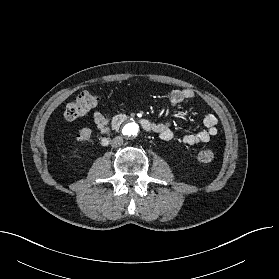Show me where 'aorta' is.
I'll return each instance as SVG.
<instances>
[{"instance_id": "762f6f07", "label": "aorta", "mask_w": 279, "mask_h": 279, "mask_svg": "<svg viewBox=\"0 0 279 279\" xmlns=\"http://www.w3.org/2000/svg\"><path fill=\"white\" fill-rule=\"evenodd\" d=\"M139 133V126L135 122H128L122 128V134L127 138H135Z\"/></svg>"}]
</instances>
